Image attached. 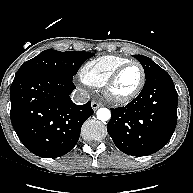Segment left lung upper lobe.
I'll use <instances>...</instances> for the list:
<instances>
[{"mask_svg": "<svg viewBox=\"0 0 193 193\" xmlns=\"http://www.w3.org/2000/svg\"><path fill=\"white\" fill-rule=\"evenodd\" d=\"M134 57L141 63L143 66L145 77L150 76L154 71L159 69L160 67L153 62L150 58L142 55H134Z\"/></svg>", "mask_w": 193, "mask_h": 193, "instance_id": "left-lung-upper-lobe-1", "label": "left lung upper lobe"}]
</instances>
